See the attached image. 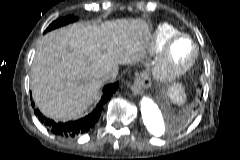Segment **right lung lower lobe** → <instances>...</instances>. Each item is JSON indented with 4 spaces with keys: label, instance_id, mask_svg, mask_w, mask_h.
I'll list each match as a JSON object with an SVG mask.
<instances>
[{
    "label": "right lung lower lobe",
    "instance_id": "98d812e1",
    "mask_svg": "<svg viewBox=\"0 0 240 160\" xmlns=\"http://www.w3.org/2000/svg\"><path fill=\"white\" fill-rule=\"evenodd\" d=\"M117 89L118 82L106 85L103 89V96L100 102L97 104L96 108L89 115L77 121L56 123L53 120H50L43 116L38 109L35 110V114L39 117L41 123L44 124L49 130H51L55 135L62 137H75L88 132L94 127L100 118L103 105L111 98ZM32 105H34V103Z\"/></svg>",
    "mask_w": 240,
    "mask_h": 160
}]
</instances>
